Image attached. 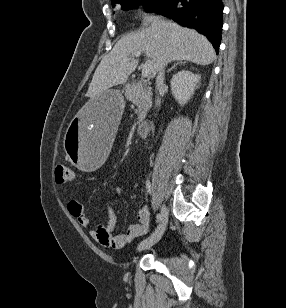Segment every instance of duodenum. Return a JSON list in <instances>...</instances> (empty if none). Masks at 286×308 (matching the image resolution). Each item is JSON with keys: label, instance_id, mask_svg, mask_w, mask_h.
<instances>
[{"label": "duodenum", "instance_id": "duodenum-1", "mask_svg": "<svg viewBox=\"0 0 286 308\" xmlns=\"http://www.w3.org/2000/svg\"><path fill=\"white\" fill-rule=\"evenodd\" d=\"M150 128V122L149 121H142L141 123H139L138 127H137V133L139 136L141 137H145L148 134Z\"/></svg>", "mask_w": 286, "mask_h": 308}]
</instances>
